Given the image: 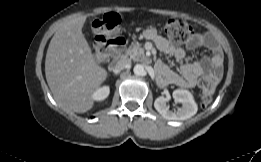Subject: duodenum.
Listing matches in <instances>:
<instances>
[{
    "label": "duodenum",
    "mask_w": 261,
    "mask_h": 162,
    "mask_svg": "<svg viewBox=\"0 0 261 162\" xmlns=\"http://www.w3.org/2000/svg\"><path fill=\"white\" fill-rule=\"evenodd\" d=\"M124 44L125 42L121 44L119 43L112 44L109 48L110 55L114 58H118L123 51Z\"/></svg>",
    "instance_id": "obj_1"
}]
</instances>
